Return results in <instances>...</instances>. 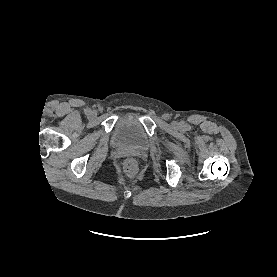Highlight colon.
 Returning <instances> with one entry per match:
<instances>
[{"mask_svg":"<svg viewBox=\"0 0 277 277\" xmlns=\"http://www.w3.org/2000/svg\"><path fill=\"white\" fill-rule=\"evenodd\" d=\"M124 171L129 177H132L137 172V163L134 159H127L123 163Z\"/></svg>","mask_w":277,"mask_h":277,"instance_id":"obj_1","label":"colon"}]
</instances>
